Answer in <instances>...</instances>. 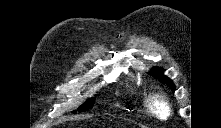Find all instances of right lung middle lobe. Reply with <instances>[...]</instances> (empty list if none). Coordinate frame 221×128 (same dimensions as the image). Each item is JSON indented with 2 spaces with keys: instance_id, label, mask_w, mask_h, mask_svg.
Segmentation results:
<instances>
[{
  "instance_id": "right-lung-middle-lobe-1",
  "label": "right lung middle lobe",
  "mask_w": 221,
  "mask_h": 128,
  "mask_svg": "<svg viewBox=\"0 0 221 128\" xmlns=\"http://www.w3.org/2000/svg\"><path fill=\"white\" fill-rule=\"evenodd\" d=\"M94 102H95V98H90L88 99L83 105H81L79 108H78V111L79 112H84V111H87L89 108H92L93 105H94ZM75 111H73V113H75Z\"/></svg>"
}]
</instances>
